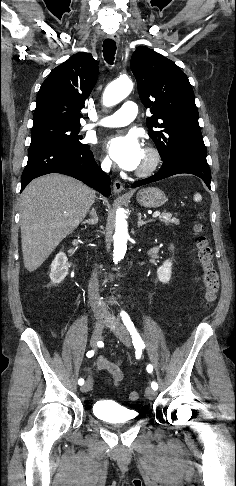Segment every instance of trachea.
<instances>
[{
	"mask_svg": "<svg viewBox=\"0 0 236 486\" xmlns=\"http://www.w3.org/2000/svg\"><path fill=\"white\" fill-rule=\"evenodd\" d=\"M116 42L112 39H106L103 42V56L105 61L112 65L115 59Z\"/></svg>",
	"mask_w": 236,
	"mask_h": 486,
	"instance_id": "obj_1",
	"label": "trachea"
}]
</instances>
